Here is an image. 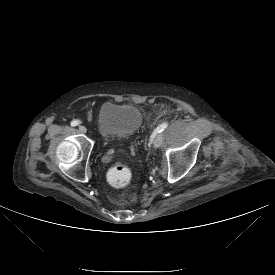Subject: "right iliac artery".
I'll use <instances>...</instances> for the list:
<instances>
[{
  "instance_id": "obj_1",
  "label": "right iliac artery",
  "mask_w": 275,
  "mask_h": 275,
  "mask_svg": "<svg viewBox=\"0 0 275 275\" xmlns=\"http://www.w3.org/2000/svg\"><path fill=\"white\" fill-rule=\"evenodd\" d=\"M80 124V121L79 120H73L72 122H71V126H77V125H79Z\"/></svg>"
}]
</instances>
